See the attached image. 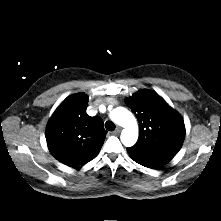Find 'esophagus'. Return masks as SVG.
<instances>
[{
    "label": "esophagus",
    "mask_w": 221,
    "mask_h": 221,
    "mask_svg": "<svg viewBox=\"0 0 221 221\" xmlns=\"http://www.w3.org/2000/svg\"><path fill=\"white\" fill-rule=\"evenodd\" d=\"M122 128L120 126H117L114 133L119 134L121 132Z\"/></svg>",
    "instance_id": "esophagus-1"
}]
</instances>
